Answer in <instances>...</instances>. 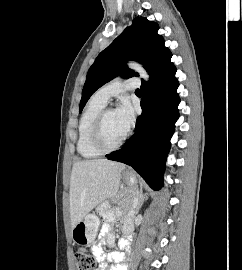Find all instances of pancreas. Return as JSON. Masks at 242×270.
Wrapping results in <instances>:
<instances>
[{
  "label": "pancreas",
  "instance_id": "cf45deb5",
  "mask_svg": "<svg viewBox=\"0 0 242 270\" xmlns=\"http://www.w3.org/2000/svg\"><path fill=\"white\" fill-rule=\"evenodd\" d=\"M137 196L136 192L131 191L130 188H125L121 193L115 198V202L118 203V205L123 210H130L132 209L134 205V200Z\"/></svg>",
  "mask_w": 242,
  "mask_h": 270
}]
</instances>
